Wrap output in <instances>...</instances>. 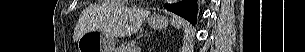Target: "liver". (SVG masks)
<instances>
[{"instance_id": "1", "label": "liver", "mask_w": 305, "mask_h": 52, "mask_svg": "<svg viewBox=\"0 0 305 52\" xmlns=\"http://www.w3.org/2000/svg\"><path fill=\"white\" fill-rule=\"evenodd\" d=\"M111 12L108 29L109 34L113 37H127L136 33L149 15V11L130 8L119 1L112 3ZM90 30L96 29L91 27L90 21L85 15L75 28L74 41L76 42L83 33Z\"/></svg>"}]
</instances>
